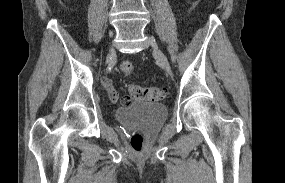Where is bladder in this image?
Instances as JSON below:
<instances>
[{"instance_id": "31cf9c89", "label": "bladder", "mask_w": 285, "mask_h": 183, "mask_svg": "<svg viewBox=\"0 0 285 183\" xmlns=\"http://www.w3.org/2000/svg\"><path fill=\"white\" fill-rule=\"evenodd\" d=\"M115 117L121 123L136 125L143 131L151 132L163 125L167 117V109L160 103L138 102L119 107Z\"/></svg>"}]
</instances>
